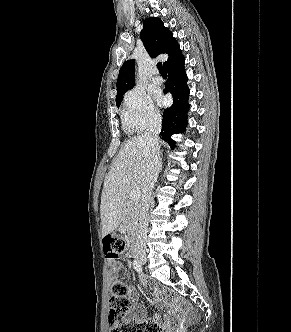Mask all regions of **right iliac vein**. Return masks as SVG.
I'll list each match as a JSON object with an SVG mask.
<instances>
[{
	"label": "right iliac vein",
	"instance_id": "obj_1",
	"mask_svg": "<svg viewBox=\"0 0 291 332\" xmlns=\"http://www.w3.org/2000/svg\"><path fill=\"white\" fill-rule=\"evenodd\" d=\"M139 262L144 264V263L147 262V259L146 258H139Z\"/></svg>",
	"mask_w": 291,
	"mask_h": 332
}]
</instances>
